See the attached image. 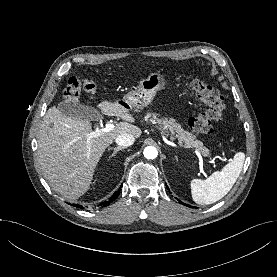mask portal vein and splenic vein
<instances>
[{"instance_id": "obj_1", "label": "portal vein and splenic vein", "mask_w": 277, "mask_h": 277, "mask_svg": "<svg viewBox=\"0 0 277 277\" xmlns=\"http://www.w3.org/2000/svg\"><path fill=\"white\" fill-rule=\"evenodd\" d=\"M114 125L113 124H111V123H106L105 124V128H102V129H100V130H96V131H94V132H91V133H89L88 134V138L90 139V138H94V137H97V136H100V135H102V134H104V133H107V132H110L111 130H113L114 129ZM199 150L198 149H196V152H198ZM208 155V154H207ZM206 176V175H205Z\"/></svg>"}]
</instances>
